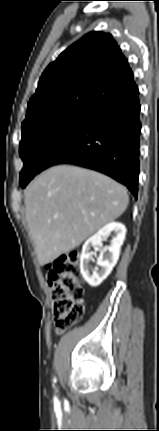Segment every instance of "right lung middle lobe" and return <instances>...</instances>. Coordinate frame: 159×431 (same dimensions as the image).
Returning a JSON list of instances; mask_svg holds the SVG:
<instances>
[{"instance_id":"1","label":"right lung middle lobe","mask_w":159,"mask_h":431,"mask_svg":"<svg viewBox=\"0 0 159 431\" xmlns=\"http://www.w3.org/2000/svg\"><path fill=\"white\" fill-rule=\"evenodd\" d=\"M88 116L75 112H58L22 126L19 154L24 162L20 186H25L40 172L43 158L52 145Z\"/></svg>"}]
</instances>
